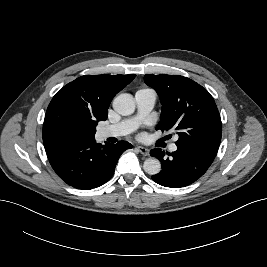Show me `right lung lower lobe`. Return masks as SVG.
<instances>
[{
  "mask_svg": "<svg viewBox=\"0 0 267 267\" xmlns=\"http://www.w3.org/2000/svg\"><path fill=\"white\" fill-rule=\"evenodd\" d=\"M48 160L57 175L77 189H93L113 175L121 154L132 148L127 141L101 145L94 138L43 140Z\"/></svg>",
  "mask_w": 267,
  "mask_h": 267,
  "instance_id": "98d812e1",
  "label": "right lung lower lobe"
}]
</instances>
